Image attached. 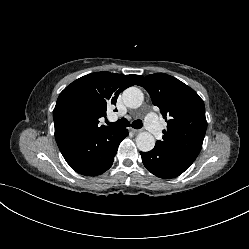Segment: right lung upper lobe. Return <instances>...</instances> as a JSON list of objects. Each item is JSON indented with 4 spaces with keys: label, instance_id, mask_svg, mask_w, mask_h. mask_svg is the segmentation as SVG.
I'll use <instances>...</instances> for the list:
<instances>
[{
    "label": "right lung upper lobe",
    "instance_id": "cb5924a9",
    "mask_svg": "<svg viewBox=\"0 0 249 249\" xmlns=\"http://www.w3.org/2000/svg\"><path fill=\"white\" fill-rule=\"evenodd\" d=\"M140 75L96 72L68 85L59 95L53 110L55 137L96 135L116 128L99 125L107 106L116 104L118 95L141 81Z\"/></svg>",
    "mask_w": 249,
    "mask_h": 249
}]
</instances>
